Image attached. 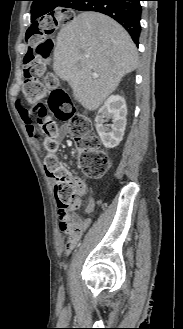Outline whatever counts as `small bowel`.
I'll use <instances>...</instances> for the list:
<instances>
[{"label":"small bowel","mask_w":183,"mask_h":329,"mask_svg":"<svg viewBox=\"0 0 183 329\" xmlns=\"http://www.w3.org/2000/svg\"><path fill=\"white\" fill-rule=\"evenodd\" d=\"M18 111H19V109H18ZM19 115H20L21 120L25 124L26 130H27L29 136L31 137L32 142L34 143V145H38V143H39L38 142V137H37V134L35 133L34 128H33V119H32L31 114H19ZM66 131H67V126L63 125L60 128L59 133H58V137H57L58 142H62V140H63V138L66 134ZM71 176L75 179V181L77 183L79 195L80 196L83 195L86 192V184L80 178H78L76 176H73V175H71ZM79 204H80V200H79ZM95 204H96V198L94 196H92L91 199H90L89 204L86 207V212L87 213H92L94 208H95ZM58 216H59V219H60V228L61 229H62V224L66 223V222H69V223L78 225L80 227V233H81L90 224V219L81 220V219H79L78 215L74 211H70V212L65 213V214L61 213V212H58ZM78 236L72 237V238L69 239V241L63 247V250H64L65 253H69L71 251V249L74 246V243L76 242V239L78 238Z\"/></svg>","instance_id":"c3829d8e"}]
</instances>
